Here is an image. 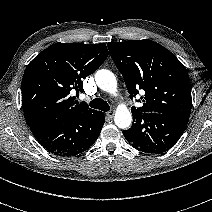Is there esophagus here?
<instances>
[{
    "instance_id": "34e87169",
    "label": "esophagus",
    "mask_w": 212,
    "mask_h": 212,
    "mask_svg": "<svg viewBox=\"0 0 212 212\" xmlns=\"http://www.w3.org/2000/svg\"><path fill=\"white\" fill-rule=\"evenodd\" d=\"M106 115H107L108 118H112V117L114 116V111H113V110L108 111V112L106 113Z\"/></svg>"
}]
</instances>
